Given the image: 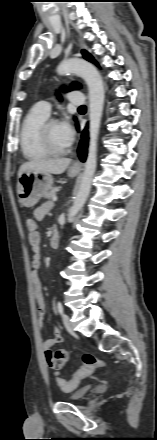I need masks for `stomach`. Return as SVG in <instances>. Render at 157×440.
Here are the masks:
<instances>
[{"mask_svg":"<svg viewBox=\"0 0 157 440\" xmlns=\"http://www.w3.org/2000/svg\"><path fill=\"white\" fill-rule=\"evenodd\" d=\"M78 170L68 169V176L75 177ZM53 185V177L50 173L35 172L23 173L18 177L17 195L19 203L24 207H33L45 196Z\"/></svg>","mask_w":157,"mask_h":440,"instance_id":"1","label":"stomach"}]
</instances>
